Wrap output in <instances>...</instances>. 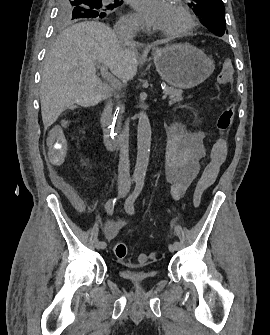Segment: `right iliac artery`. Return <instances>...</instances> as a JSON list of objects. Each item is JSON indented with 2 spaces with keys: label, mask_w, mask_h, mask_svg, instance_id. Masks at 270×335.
Segmentation results:
<instances>
[{
  "label": "right iliac artery",
  "mask_w": 270,
  "mask_h": 335,
  "mask_svg": "<svg viewBox=\"0 0 270 335\" xmlns=\"http://www.w3.org/2000/svg\"><path fill=\"white\" fill-rule=\"evenodd\" d=\"M117 199H118V198H111V199H109L108 202L106 203V205H105V209H106V212H107L109 215H112V214H113L114 207H115V205H116ZM106 246H107L106 242H104V241H101V242H100V248H101V249H105Z\"/></svg>",
  "instance_id": "obj_1"
}]
</instances>
